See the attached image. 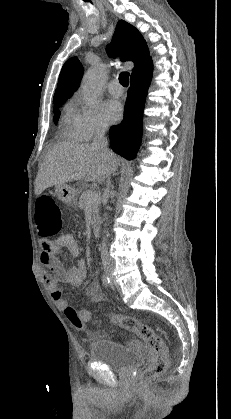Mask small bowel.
<instances>
[{"label": "small bowel", "mask_w": 231, "mask_h": 419, "mask_svg": "<svg viewBox=\"0 0 231 419\" xmlns=\"http://www.w3.org/2000/svg\"><path fill=\"white\" fill-rule=\"evenodd\" d=\"M40 247V260L43 265L42 274L45 283L56 306L65 310L68 303L63 298L59 285L67 284L75 288L80 287L87 276L88 268L84 260H78L67 269L58 259L57 253L66 250L71 258H75L79 254L80 246L72 235L63 234L52 241L42 240ZM86 296L94 302H101L104 299L103 291L97 281H93L89 285ZM78 313L83 317L84 322L91 321L92 313L89 310L80 309Z\"/></svg>", "instance_id": "c3829d8e"}]
</instances>
